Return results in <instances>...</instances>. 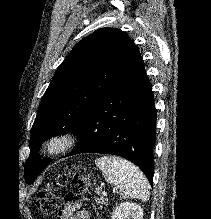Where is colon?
I'll list each match as a JSON object with an SVG mask.
<instances>
[{"mask_svg":"<svg viewBox=\"0 0 211 219\" xmlns=\"http://www.w3.org/2000/svg\"><path fill=\"white\" fill-rule=\"evenodd\" d=\"M68 180L72 182L70 191L66 188ZM89 185V175L83 167L69 166L38 193L35 205L43 217H51L61 208L63 202L74 205L82 201Z\"/></svg>","mask_w":211,"mask_h":219,"instance_id":"1","label":"colon"}]
</instances>
